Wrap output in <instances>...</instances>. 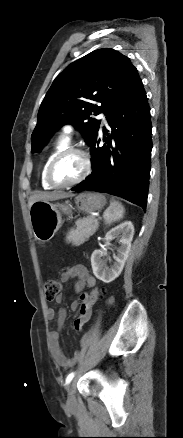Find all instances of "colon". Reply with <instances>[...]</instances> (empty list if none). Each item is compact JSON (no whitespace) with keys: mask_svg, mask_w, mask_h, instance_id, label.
Instances as JSON below:
<instances>
[{"mask_svg":"<svg viewBox=\"0 0 183 438\" xmlns=\"http://www.w3.org/2000/svg\"><path fill=\"white\" fill-rule=\"evenodd\" d=\"M46 299L52 301L61 294V284L56 279H48L44 286ZM103 291L99 288H94L86 296H82L81 314L86 315L91 310L93 305L102 297Z\"/></svg>","mask_w":183,"mask_h":438,"instance_id":"1","label":"colon"}]
</instances>
